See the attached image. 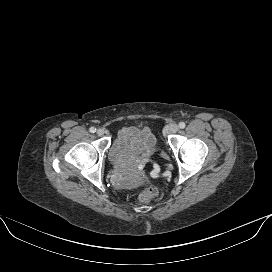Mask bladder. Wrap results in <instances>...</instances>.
Wrapping results in <instances>:
<instances>
[{
	"instance_id": "obj_1",
	"label": "bladder",
	"mask_w": 272,
	"mask_h": 272,
	"mask_svg": "<svg viewBox=\"0 0 272 272\" xmlns=\"http://www.w3.org/2000/svg\"><path fill=\"white\" fill-rule=\"evenodd\" d=\"M108 159L111 164H113L115 166L118 164V158H117L116 154L114 153L113 148L110 150V153L108 155Z\"/></svg>"
}]
</instances>
